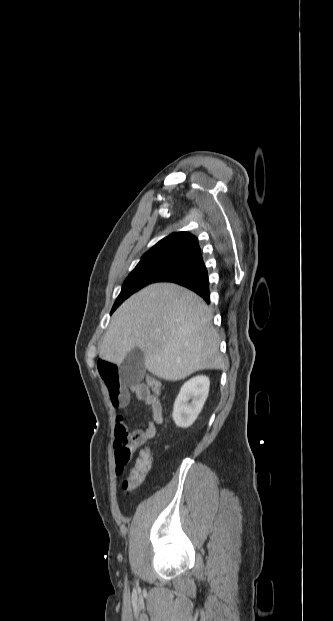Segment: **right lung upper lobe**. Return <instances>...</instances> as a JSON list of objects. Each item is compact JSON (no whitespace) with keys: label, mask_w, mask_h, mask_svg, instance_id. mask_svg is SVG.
Returning a JSON list of instances; mask_svg holds the SVG:
<instances>
[{"label":"right lung upper lobe","mask_w":333,"mask_h":621,"mask_svg":"<svg viewBox=\"0 0 333 621\" xmlns=\"http://www.w3.org/2000/svg\"><path fill=\"white\" fill-rule=\"evenodd\" d=\"M200 251L197 238L188 232H176L162 240L147 251L140 262L163 258L188 259Z\"/></svg>","instance_id":"cb5924a9"}]
</instances>
